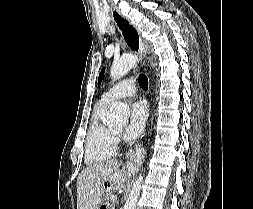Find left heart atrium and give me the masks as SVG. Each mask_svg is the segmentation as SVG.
Listing matches in <instances>:
<instances>
[{"label": "left heart atrium", "instance_id": "1", "mask_svg": "<svg viewBox=\"0 0 253 209\" xmlns=\"http://www.w3.org/2000/svg\"><path fill=\"white\" fill-rule=\"evenodd\" d=\"M147 115L148 111L145 102L137 100L131 104L129 124L124 132V137L127 140H133L142 133Z\"/></svg>", "mask_w": 253, "mask_h": 209}]
</instances>
